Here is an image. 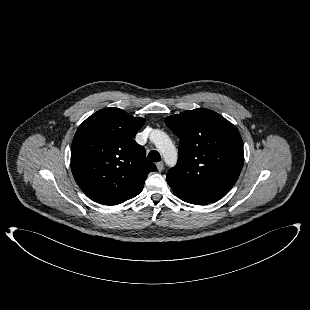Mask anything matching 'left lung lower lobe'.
Returning <instances> with one entry per match:
<instances>
[{
  "instance_id": "left-lung-lower-lobe-1",
  "label": "left lung lower lobe",
  "mask_w": 310,
  "mask_h": 310,
  "mask_svg": "<svg viewBox=\"0 0 310 310\" xmlns=\"http://www.w3.org/2000/svg\"><path fill=\"white\" fill-rule=\"evenodd\" d=\"M177 197H179L181 200L185 201V202H188V203H191V204H196V205H205V204H208L210 202H206V201H202V200H195V199H192V198H187V197H182L178 194H175Z\"/></svg>"
}]
</instances>
